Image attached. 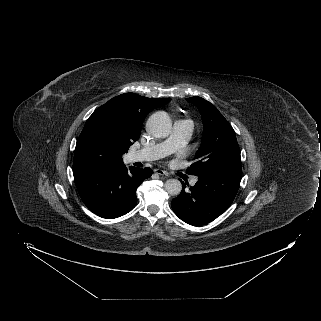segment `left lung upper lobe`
Here are the masks:
<instances>
[{
  "mask_svg": "<svg viewBox=\"0 0 321 321\" xmlns=\"http://www.w3.org/2000/svg\"><path fill=\"white\" fill-rule=\"evenodd\" d=\"M200 111L203 138L196 152L197 161L187 169L192 175L215 171H241L240 149L235 131L218 109L201 97L186 98Z\"/></svg>",
  "mask_w": 321,
  "mask_h": 321,
  "instance_id": "1",
  "label": "left lung upper lobe"
}]
</instances>
